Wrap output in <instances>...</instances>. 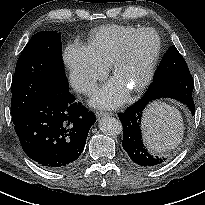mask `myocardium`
Wrapping results in <instances>:
<instances>
[{"label":"myocardium","instance_id":"f54148a6","mask_svg":"<svg viewBox=\"0 0 205 205\" xmlns=\"http://www.w3.org/2000/svg\"><path fill=\"white\" fill-rule=\"evenodd\" d=\"M144 33H153L157 39V46H156L155 52L153 53L152 57L148 61L143 78L137 85L129 89L131 92H141L150 84L153 78L154 71H155L157 62L159 60L160 54H161V50H162V43H161V38L159 34L153 28L138 29L133 34L127 37L121 50L117 53V55L114 57L111 63V71H112L113 76L115 77L122 63L130 55L131 46H132L133 41L136 38H138L141 34H144Z\"/></svg>","mask_w":205,"mask_h":205}]
</instances>
